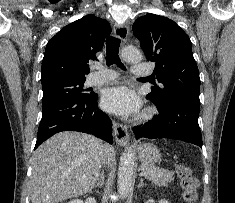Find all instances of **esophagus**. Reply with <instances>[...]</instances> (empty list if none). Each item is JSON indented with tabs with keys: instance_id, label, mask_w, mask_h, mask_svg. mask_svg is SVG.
<instances>
[{
	"instance_id": "34e87169",
	"label": "esophagus",
	"mask_w": 235,
	"mask_h": 203,
	"mask_svg": "<svg viewBox=\"0 0 235 203\" xmlns=\"http://www.w3.org/2000/svg\"><path fill=\"white\" fill-rule=\"evenodd\" d=\"M129 33V28L126 24H115L114 25V36L119 38L122 42L127 40ZM113 133L116 142L125 146L129 142V134L128 129L125 125L119 124L117 122H113Z\"/></svg>"
}]
</instances>
